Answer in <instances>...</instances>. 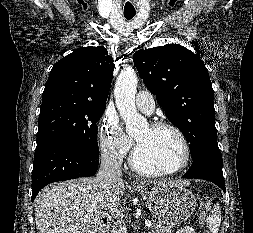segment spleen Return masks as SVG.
Segmentation results:
<instances>
[{
    "label": "spleen",
    "mask_w": 253,
    "mask_h": 233,
    "mask_svg": "<svg viewBox=\"0 0 253 233\" xmlns=\"http://www.w3.org/2000/svg\"><path fill=\"white\" fill-rule=\"evenodd\" d=\"M208 228L212 233H218L221 224V208L220 204L216 203L213 206L211 215L206 219Z\"/></svg>",
    "instance_id": "3e777b00"
}]
</instances>
